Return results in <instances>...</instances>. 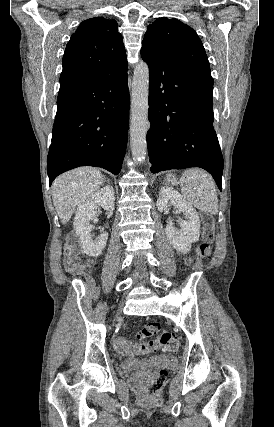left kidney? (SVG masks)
Masks as SVG:
<instances>
[{
	"instance_id": "left-kidney-1",
	"label": "left kidney",
	"mask_w": 274,
	"mask_h": 427,
	"mask_svg": "<svg viewBox=\"0 0 274 427\" xmlns=\"http://www.w3.org/2000/svg\"><path fill=\"white\" fill-rule=\"evenodd\" d=\"M156 206L159 212H165V214H168L170 206H174L177 214L184 215L185 219H180L181 229L174 227L172 219H169L165 233L174 249L181 253H188L191 243L198 241L200 235V219L195 208L185 202L181 194L168 186L161 188Z\"/></svg>"
}]
</instances>
